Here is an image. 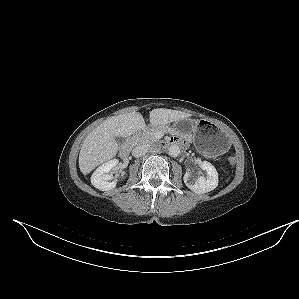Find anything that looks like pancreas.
Masks as SVG:
<instances>
[{
	"instance_id": "pancreas-1",
	"label": "pancreas",
	"mask_w": 299,
	"mask_h": 299,
	"mask_svg": "<svg viewBox=\"0 0 299 299\" xmlns=\"http://www.w3.org/2000/svg\"><path fill=\"white\" fill-rule=\"evenodd\" d=\"M166 131H168V128L164 126L153 127L147 129L144 132L137 133L134 136V141L138 144H152L158 141L157 134L159 132H166Z\"/></svg>"
}]
</instances>
